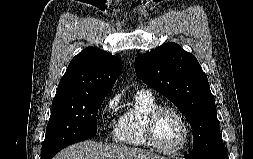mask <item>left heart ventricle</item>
Returning a JSON list of instances; mask_svg holds the SVG:
<instances>
[{
	"instance_id": "obj_1",
	"label": "left heart ventricle",
	"mask_w": 253,
	"mask_h": 159,
	"mask_svg": "<svg viewBox=\"0 0 253 159\" xmlns=\"http://www.w3.org/2000/svg\"><path fill=\"white\" fill-rule=\"evenodd\" d=\"M158 143L164 148L177 147L184 136V127L179 117L170 111L160 114L155 125Z\"/></svg>"
}]
</instances>
